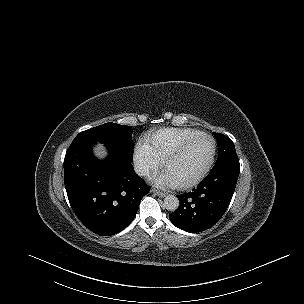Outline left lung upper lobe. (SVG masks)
I'll return each mask as SVG.
<instances>
[{"instance_id":"1","label":"left lung upper lobe","mask_w":304,"mask_h":304,"mask_svg":"<svg viewBox=\"0 0 304 304\" xmlns=\"http://www.w3.org/2000/svg\"><path fill=\"white\" fill-rule=\"evenodd\" d=\"M218 145V159L212 170L219 169L229 163L239 162L234 143L232 140L220 133H213ZM211 170V171H212Z\"/></svg>"}]
</instances>
